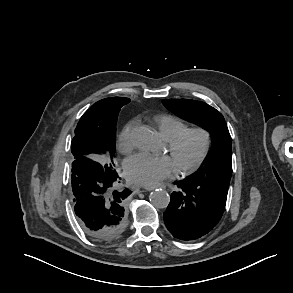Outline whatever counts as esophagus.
Instances as JSON below:
<instances>
[{
    "label": "esophagus",
    "mask_w": 293,
    "mask_h": 293,
    "mask_svg": "<svg viewBox=\"0 0 293 293\" xmlns=\"http://www.w3.org/2000/svg\"><path fill=\"white\" fill-rule=\"evenodd\" d=\"M155 187H142L137 189V193L154 190Z\"/></svg>",
    "instance_id": "esophagus-1"
}]
</instances>
